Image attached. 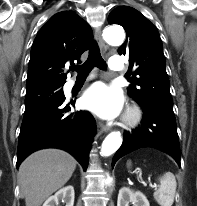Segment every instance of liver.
I'll list each match as a JSON object with an SVG mask.
<instances>
[{
  "instance_id": "obj_1",
  "label": "liver",
  "mask_w": 197,
  "mask_h": 206,
  "mask_svg": "<svg viewBox=\"0 0 197 206\" xmlns=\"http://www.w3.org/2000/svg\"><path fill=\"white\" fill-rule=\"evenodd\" d=\"M75 168L76 160L58 149L40 150L27 157L18 172L26 206H41L67 183Z\"/></svg>"
}]
</instances>
